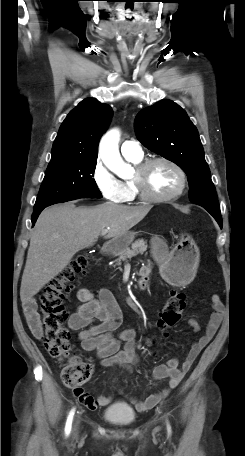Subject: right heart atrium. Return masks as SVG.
<instances>
[{
    "instance_id": "right-heart-atrium-1",
    "label": "right heart atrium",
    "mask_w": 245,
    "mask_h": 456,
    "mask_svg": "<svg viewBox=\"0 0 245 456\" xmlns=\"http://www.w3.org/2000/svg\"><path fill=\"white\" fill-rule=\"evenodd\" d=\"M91 177L104 199L114 203L124 202L125 190L122 182L108 170L100 159L95 162Z\"/></svg>"
}]
</instances>
